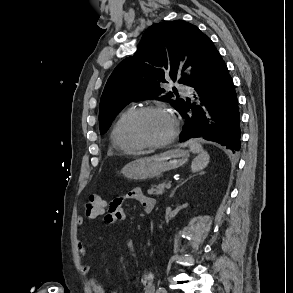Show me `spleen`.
<instances>
[{"label": "spleen", "mask_w": 293, "mask_h": 293, "mask_svg": "<svg viewBox=\"0 0 293 293\" xmlns=\"http://www.w3.org/2000/svg\"><path fill=\"white\" fill-rule=\"evenodd\" d=\"M190 151L198 154L197 157L194 158L191 164V169L193 172L203 170L209 163L210 157L208 153L203 149L199 140H190L188 142Z\"/></svg>", "instance_id": "3e777b00"}]
</instances>
